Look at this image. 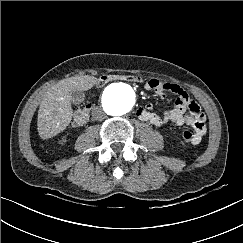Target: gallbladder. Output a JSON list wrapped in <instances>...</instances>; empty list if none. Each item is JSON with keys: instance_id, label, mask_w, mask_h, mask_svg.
Here are the masks:
<instances>
[{"instance_id": "1", "label": "gallbladder", "mask_w": 243, "mask_h": 243, "mask_svg": "<svg viewBox=\"0 0 243 243\" xmlns=\"http://www.w3.org/2000/svg\"><path fill=\"white\" fill-rule=\"evenodd\" d=\"M84 93L82 91H72L71 92V102L73 104H80L84 100Z\"/></svg>"}]
</instances>
